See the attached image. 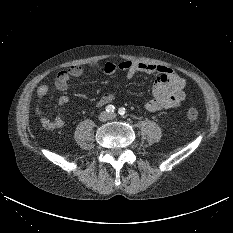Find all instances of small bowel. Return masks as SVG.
<instances>
[{
    "instance_id": "c3829d8e",
    "label": "small bowel",
    "mask_w": 233,
    "mask_h": 233,
    "mask_svg": "<svg viewBox=\"0 0 233 233\" xmlns=\"http://www.w3.org/2000/svg\"><path fill=\"white\" fill-rule=\"evenodd\" d=\"M90 68L105 74H112L116 71H121L126 73L128 77H132L137 73L157 74L158 77L152 87V96L145 103V108L150 112L179 107L186 98L184 90L186 82L184 78L168 66L124 60L118 63L95 62L90 64ZM84 73V66L74 65L57 74L55 86L58 90L64 91L68 89L72 78H79L83 76ZM48 93V85L43 84L38 87L36 115L44 128L49 130L62 128L65 125V121L61 116V110L67 105L69 98L67 96L59 97L57 101L56 115L53 119H50L45 113V98ZM114 99L115 93H106L99 98L96 106L102 107L111 103Z\"/></svg>"
}]
</instances>
